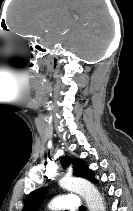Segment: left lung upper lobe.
Segmentation results:
<instances>
[{
    "mask_svg": "<svg viewBox=\"0 0 133 211\" xmlns=\"http://www.w3.org/2000/svg\"><path fill=\"white\" fill-rule=\"evenodd\" d=\"M64 167H67L70 163L73 164V174L77 177L88 179L91 182H96L93 171L88 168L84 161L81 159H72L69 156H64L62 159ZM48 192L47 187L39 188L27 197L24 208L22 211H36L42 204Z\"/></svg>",
    "mask_w": 133,
    "mask_h": 211,
    "instance_id": "left-lung-upper-lobe-1",
    "label": "left lung upper lobe"
}]
</instances>
